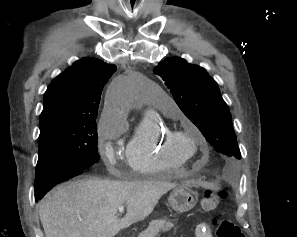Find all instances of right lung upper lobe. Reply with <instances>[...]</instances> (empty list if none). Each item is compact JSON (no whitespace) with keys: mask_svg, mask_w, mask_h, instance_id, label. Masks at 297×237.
<instances>
[{"mask_svg":"<svg viewBox=\"0 0 297 237\" xmlns=\"http://www.w3.org/2000/svg\"><path fill=\"white\" fill-rule=\"evenodd\" d=\"M116 66L83 58L59 74L44 94L40 124L58 118H97L101 92Z\"/></svg>","mask_w":297,"mask_h":237,"instance_id":"cb5924a9","label":"right lung upper lobe"}]
</instances>
